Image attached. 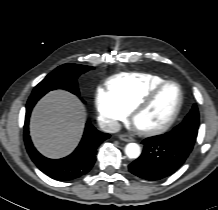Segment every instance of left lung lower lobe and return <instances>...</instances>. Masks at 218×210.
Listing matches in <instances>:
<instances>
[{
	"label": "left lung lower lobe",
	"mask_w": 218,
	"mask_h": 210,
	"mask_svg": "<svg viewBox=\"0 0 218 210\" xmlns=\"http://www.w3.org/2000/svg\"><path fill=\"white\" fill-rule=\"evenodd\" d=\"M170 135L150 137L143 140L141 156L129 165V171L146 180H160L177 171L185 162L194 146V140L186 135L187 127H177Z\"/></svg>",
	"instance_id": "0a47b994"
}]
</instances>
